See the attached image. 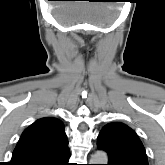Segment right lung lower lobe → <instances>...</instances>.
Returning a JSON list of instances; mask_svg holds the SVG:
<instances>
[{
  "label": "right lung lower lobe",
  "instance_id": "98d812e1",
  "mask_svg": "<svg viewBox=\"0 0 165 165\" xmlns=\"http://www.w3.org/2000/svg\"><path fill=\"white\" fill-rule=\"evenodd\" d=\"M69 148L68 142H62L55 151L44 160L35 165H69Z\"/></svg>",
  "mask_w": 165,
  "mask_h": 165
}]
</instances>
